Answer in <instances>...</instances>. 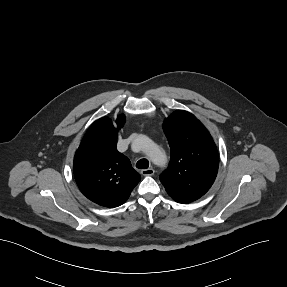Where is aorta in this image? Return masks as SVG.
I'll list each match as a JSON object with an SVG mask.
<instances>
[{"label": "aorta", "mask_w": 287, "mask_h": 287, "mask_svg": "<svg viewBox=\"0 0 287 287\" xmlns=\"http://www.w3.org/2000/svg\"><path fill=\"white\" fill-rule=\"evenodd\" d=\"M135 143L146 152L154 164L159 166L166 164L167 157L165 152L146 135H139Z\"/></svg>", "instance_id": "obj_1"}]
</instances>
